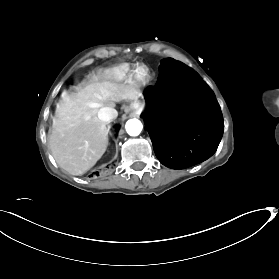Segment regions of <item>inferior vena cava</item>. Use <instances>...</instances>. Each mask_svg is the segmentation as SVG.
Returning a JSON list of instances; mask_svg holds the SVG:
<instances>
[{
  "label": "inferior vena cava",
  "mask_w": 279,
  "mask_h": 279,
  "mask_svg": "<svg viewBox=\"0 0 279 279\" xmlns=\"http://www.w3.org/2000/svg\"><path fill=\"white\" fill-rule=\"evenodd\" d=\"M117 115L118 112L112 110L110 107H102L98 111V118L105 123L107 122V124L115 120L117 118Z\"/></svg>",
  "instance_id": "1"
}]
</instances>
